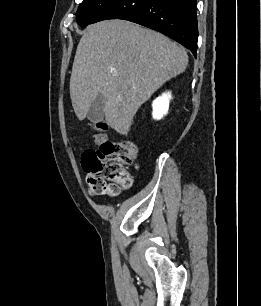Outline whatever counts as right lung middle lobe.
Here are the masks:
<instances>
[{
  "instance_id": "obj_1",
  "label": "right lung middle lobe",
  "mask_w": 261,
  "mask_h": 306,
  "mask_svg": "<svg viewBox=\"0 0 261 306\" xmlns=\"http://www.w3.org/2000/svg\"><path fill=\"white\" fill-rule=\"evenodd\" d=\"M115 0H83L77 10L76 20L81 27L90 24Z\"/></svg>"
}]
</instances>
